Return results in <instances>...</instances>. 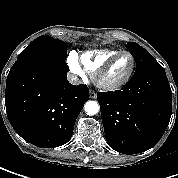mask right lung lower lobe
I'll return each instance as SVG.
<instances>
[{
	"mask_svg": "<svg viewBox=\"0 0 178 178\" xmlns=\"http://www.w3.org/2000/svg\"><path fill=\"white\" fill-rule=\"evenodd\" d=\"M61 60L16 61L6 81L5 104L13 129L42 148L66 144L77 116L89 100L85 85H71Z\"/></svg>",
	"mask_w": 178,
	"mask_h": 178,
	"instance_id": "1",
	"label": "right lung lower lobe"
}]
</instances>
